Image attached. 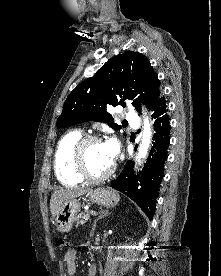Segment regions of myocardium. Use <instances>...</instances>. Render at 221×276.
Listing matches in <instances>:
<instances>
[{"instance_id":"f54148a6","label":"myocardium","mask_w":221,"mask_h":276,"mask_svg":"<svg viewBox=\"0 0 221 276\" xmlns=\"http://www.w3.org/2000/svg\"><path fill=\"white\" fill-rule=\"evenodd\" d=\"M94 142H102V139L95 135H86L81 137L73 149V164L77 174L88 182H101L109 178L115 171L116 164L113 162L111 166L100 175H93L88 170L86 164V148Z\"/></svg>"}]
</instances>
